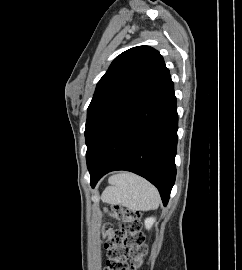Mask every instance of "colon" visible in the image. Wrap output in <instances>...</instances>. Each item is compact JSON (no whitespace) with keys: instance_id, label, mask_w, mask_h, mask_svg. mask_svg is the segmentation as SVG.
<instances>
[{"instance_id":"colon-1","label":"colon","mask_w":242,"mask_h":270,"mask_svg":"<svg viewBox=\"0 0 242 270\" xmlns=\"http://www.w3.org/2000/svg\"><path fill=\"white\" fill-rule=\"evenodd\" d=\"M113 213L123 224L121 231H114L109 225L104 229L108 255L104 270H137L148 251L139 213L121 206H115Z\"/></svg>"}]
</instances>
